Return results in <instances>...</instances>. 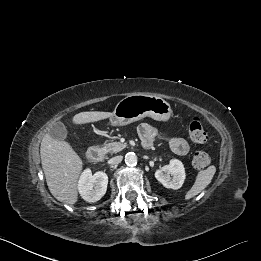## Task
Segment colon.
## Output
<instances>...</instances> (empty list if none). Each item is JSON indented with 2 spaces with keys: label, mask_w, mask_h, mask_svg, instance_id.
Instances as JSON below:
<instances>
[{
  "label": "colon",
  "mask_w": 261,
  "mask_h": 261,
  "mask_svg": "<svg viewBox=\"0 0 261 261\" xmlns=\"http://www.w3.org/2000/svg\"><path fill=\"white\" fill-rule=\"evenodd\" d=\"M189 139L194 144H202L207 135L199 118H193L188 128ZM193 163L197 167H205L210 163V156L204 151H198L193 157Z\"/></svg>",
  "instance_id": "colon-1"
}]
</instances>
